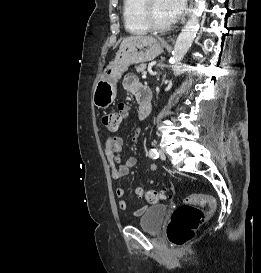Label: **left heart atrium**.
<instances>
[{
	"label": "left heart atrium",
	"instance_id": "left-heart-atrium-1",
	"mask_svg": "<svg viewBox=\"0 0 261 273\" xmlns=\"http://www.w3.org/2000/svg\"><path fill=\"white\" fill-rule=\"evenodd\" d=\"M171 22L178 20L184 13L186 0H165Z\"/></svg>",
	"mask_w": 261,
	"mask_h": 273
}]
</instances>
